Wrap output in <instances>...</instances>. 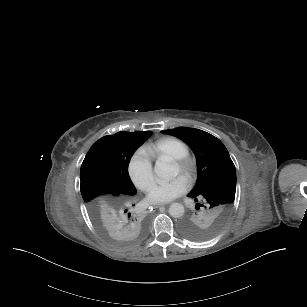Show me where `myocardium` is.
Returning <instances> with one entry per match:
<instances>
[{
	"mask_svg": "<svg viewBox=\"0 0 307 307\" xmlns=\"http://www.w3.org/2000/svg\"><path fill=\"white\" fill-rule=\"evenodd\" d=\"M179 169V173L187 179L196 177L200 170V158L193 152H188L180 157L172 158Z\"/></svg>",
	"mask_w": 307,
	"mask_h": 307,
	"instance_id": "obj_1",
	"label": "myocardium"
}]
</instances>
